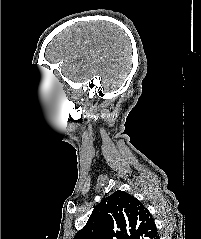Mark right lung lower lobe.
I'll return each mask as SVG.
<instances>
[{
	"label": "right lung lower lobe",
	"instance_id": "1",
	"mask_svg": "<svg viewBox=\"0 0 201 239\" xmlns=\"http://www.w3.org/2000/svg\"><path fill=\"white\" fill-rule=\"evenodd\" d=\"M156 239H159L158 235H157Z\"/></svg>",
	"mask_w": 201,
	"mask_h": 239
}]
</instances>
